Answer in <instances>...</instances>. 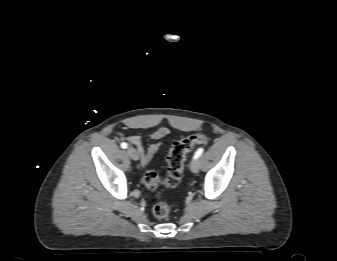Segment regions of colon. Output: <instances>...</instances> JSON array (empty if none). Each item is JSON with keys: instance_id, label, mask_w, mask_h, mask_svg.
<instances>
[{"instance_id": "colon-1", "label": "colon", "mask_w": 337, "mask_h": 261, "mask_svg": "<svg viewBox=\"0 0 337 261\" xmlns=\"http://www.w3.org/2000/svg\"><path fill=\"white\" fill-rule=\"evenodd\" d=\"M208 140L209 137L205 134H193L175 141L167 157L166 176L162 179L156 171L148 170L143 176L145 186L151 190L161 186L167 189L176 188L182 178L187 154L194 146L206 143ZM152 211L156 218L164 219L172 214L173 207L164 201H157Z\"/></svg>"}]
</instances>
